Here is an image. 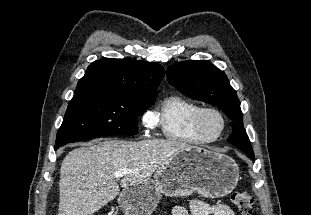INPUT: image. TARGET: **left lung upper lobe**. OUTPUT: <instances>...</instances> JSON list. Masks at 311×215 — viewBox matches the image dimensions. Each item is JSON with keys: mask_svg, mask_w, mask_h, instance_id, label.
<instances>
[{"mask_svg": "<svg viewBox=\"0 0 311 215\" xmlns=\"http://www.w3.org/2000/svg\"><path fill=\"white\" fill-rule=\"evenodd\" d=\"M169 83L186 96L222 109L234 121L227 141L245 152L252 160L254 152L243 127V114L236 91L226 74L207 60H189L171 65Z\"/></svg>", "mask_w": 311, "mask_h": 215, "instance_id": "left-lung-upper-lobe-1", "label": "left lung upper lobe"}]
</instances>
